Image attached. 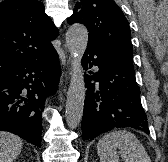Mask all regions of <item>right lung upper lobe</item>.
I'll use <instances>...</instances> for the list:
<instances>
[{"label": "right lung upper lobe", "instance_id": "cb5924a9", "mask_svg": "<svg viewBox=\"0 0 168 162\" xmlns=\"http://www.w3.org/2000/svg\"><path fill=\"white\" fill-rule=\"evenodd\" d=\"M57 35L39 0H4L0 3V75L20 64L40 60L54 47Z\"/></svg>", "mask_w": 168, "mask_h": 162}]
</instances>
